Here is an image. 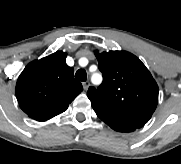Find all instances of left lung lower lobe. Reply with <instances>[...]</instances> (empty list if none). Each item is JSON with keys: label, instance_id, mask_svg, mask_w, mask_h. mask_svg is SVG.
I'll return each instance as SVG.
<instances>
[{"label": "left lung lower lobe", "instance_id": "left-lung-lower-lobe-1", "mask_svg": "<svg viewBox=\"0 0 181 164\" xmlns=\"http://www.w3.org/2000/svg\"><path fill=\"white\" fill-rule=\"evenodd\" d=\"M106 124H108L112 129L119 131V132H132L137 129V127H134L132 125H129L127 123H122L115 120H109L106 118H101Z\"/></svg>", "mask_w": 181, "mask_h": 164}]
</instances>
